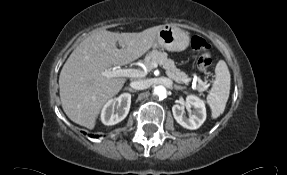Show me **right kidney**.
<instances>
[{
	"mask_svg": "<svg viewBox=\"0 0 287 175\" xmlns=\"http://www.w3.org/2000/svg\"><path fill=\"white\" fill-rule=\"evenodd\" d=\"M131 105V94L123 93L119 97L110 99L103 107L101 121L105 125L121 122L128 115Z\"/></svg>",
	"mask_w": 287,
	"mask_h": 175,
	"instance_id": "obj_1",
	"label": "right kidney"
}]
</instances>
